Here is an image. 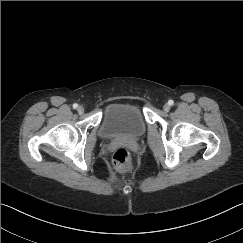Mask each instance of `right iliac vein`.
Wrapping results in <instances>:
<instances>
[{"instance_id":"obj_1","label":"right iliac vein","mask_w":243,"mask_h":243,"mask_svg":"<svg viewBox=\"0 0 243 243\" xmlns=\"http://www.w3.org/2000/svg\"><path fill=\"white\" fill-rule=\"evenodd\" d=\"M77 111H78L79 114H82L84 112V108L82 106H79L77 108Z\"/></svg>"}]
</instances>
